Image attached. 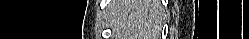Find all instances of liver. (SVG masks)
<instances>
[{"label":"liver","mask_w":249,"mask_h":39,"mask_svg":"<svg viewBox=\"0 0 249 39\" xmlns=\"http://www.w3.org/2000/svg\"><path fill=\"white\" fill-rule=\"evenodd\" d=\"M162 14L160 0H118L111 23L118 39H158Z\"/></svg>","instance_id":"liver-1"}]
</instances>
